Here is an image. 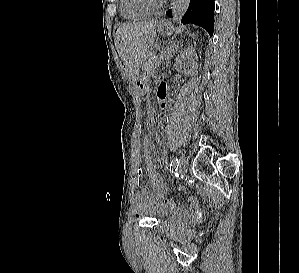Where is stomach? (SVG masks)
Returning a JSON list of instances; mask_svg holds the SVG:
<instances>
[{
    "label": "stomach",
    "mask_w": 299,
    "mask_h": 273,
    "mask_svg": "<svg viewBox=\"0 0 299 273\" xmlns=\"http://www.w3.org/2000/svg\"><path fill=\"white\" fill-rule=\"evenodd\" d=\"M157 30L159 33L164 34V33H168L171 30V27L167 22L162 21L158 23ZM148 79L149 77L146 75H140L136 78V88L139 94L143 95L147 91Z\"/></svg>",
    "instance_id": "1"
}]
</instances>
